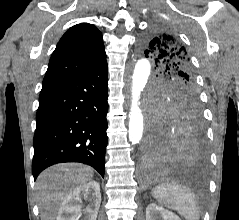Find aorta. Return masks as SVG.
Masks as SVG:
<instances>
[{"instance_id":"762f6f07","label":"aorta","mask_w":239,"mask_h":220,"mask_svg":"<svg viewBox=\"0 0 239 220\" xmlns=\"http://www.w3.org/2000/svg\"><path fill=\"white\" fill-rule=\"evenodd\" d=\"M132 89L128 137L132 144L140 143L144 131V115L140 108V95L151 83V66L147 59L140 58L131 65Z\"/></svg>"}]
</instances>
